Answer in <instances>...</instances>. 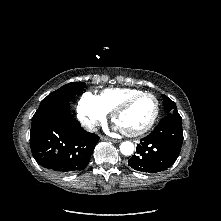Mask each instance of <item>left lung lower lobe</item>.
I'll return each mask as SVG.
<instances>
[{"mask_svg": "<svg viewBox=\"0 0 221 221\" xmlns=\"http://www.w3.org/2000/svg\"><path fill=\"white\" fill-rule=\"evenodd\" d=\"M137 144L136 154L128 165L141 172H161L177 159L182 142V119L179 113L166 115L156 128Z\"/></svg>", "mask_w": 221, "mask_h": 221, "instance_id": "1", "label": "left lung lower lobe"}]
</instances>
